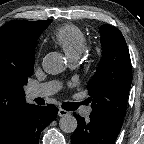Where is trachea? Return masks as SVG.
Instances as JSON below:
<instances>
[{
  "instance_id": "1",
  "label": "trachea",
  "mask_w": 144,
  "mask_h": 144,
  "mask_svg": "<svg viewBox=\"0 0 144 144\" xmlns=\"http://www.w3.org/2000/svg\"><path fill=\"white\" fill-rule=\"evenodd\" d=\"M80 104L82 103L65 102L63 103L62 108L68 111H73L76 110Z\"/></svg>"
}]
</instances>
